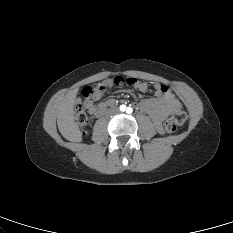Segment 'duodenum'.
<instances>
[{"label": "duodenum", "instance_id": "1", "mask_svg": "<svg viewBox=\"0 0 233 233\" xmlns=\"http://www.w3.org/2000/svg\"><path fill=\"white\" fill-rule=\"evenodd\" d=\"M111 106H113L112 104H107V105H105L103 108H101V109H99L98 111H97V115H100V114H102L104 111H106L109 107H111Z\"/></svg>", "mask_w": 233, "mask_h": 233}]
</instances>
